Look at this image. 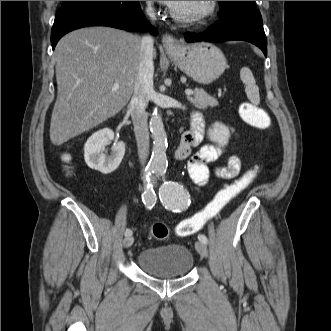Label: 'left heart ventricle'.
Masks as SVG:
<instances>
[{"label":"left heart ventricle","instance_id":"left-heart-ventricle-1","mask_svg":"<svg viewBox=\"0 0 331 331\" xmlns=\"http://www.w3.org/2000/svg\"><path fill=\"white\" fill-rule=\"evenodd\" d=\"M204 5V1H178L173 9L181 14H192L199 11Z\"/></svg>","mask_w":331,"mask_h":331}]
</instances>
